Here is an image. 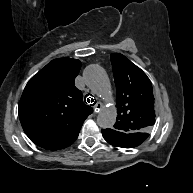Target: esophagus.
I'll return each instance as SVG.
<instances>
[{
    "label": "esophagus",
    "mask_w": 193,
    "mask_h": 193,
    "mask_svg": "<svg viewBox=\"0 0 193 193\" xmlns=\"http://www.w3.org/2000/svg\"><path fill=\"white\" fill-rule=\"evenodd\" d=\"M103 108V104L101 102H97L96 107L94 108L95 113H99Z\"/></svg>",
    "instance_id": "34e87169"
}]
</instances>
